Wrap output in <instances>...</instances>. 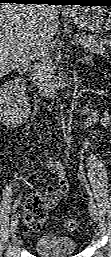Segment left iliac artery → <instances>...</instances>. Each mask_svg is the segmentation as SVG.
Wrapping results in <instances>:
<instances>
[{
    "instance_id": "1",
    "label": "left iliac artery",
    "mask_w": 111,
    "mask_h": 257,
    "mask_svg": "<svg viewBox=\"0 0 111 257\" xmlns=\"http://www.w3.org/2000/svg\"><path fill=\"white\" fill-rule=\"evenodd\" d=\"M81 176L83 177V181H84L86 190L88 191V194L90 195L91 199L93 200V198H92L93 195H92L90 186H89L88 182L86 181V179L84 178V176L82 174H81Z\"/></svg>"
}]
</instances>
